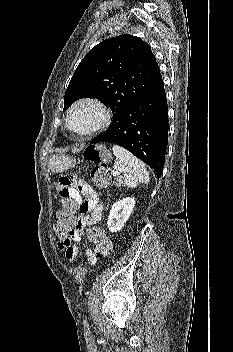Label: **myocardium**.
Here are the masks:
<instances>
[{"mask_svg": "<svg viewBox=\"0 0 233 352\" xmlns=\"http://www.w3.org/2000/svg\"><path fill=\"white\" fill-rule=\"evenodd\" d=\"M85 105L95 107L99 111L100 117L97 120V122L94 123L91 127H89L86 130L79 131L72 126L71 117L76 109ZM111 118H112L111 111L105 103H103L101 100L94 97H85V98L79 99L70 107L66 116V126L68 130L71 131L72 133L78 136L86 137L103 130L110 123Z\"/></svg>", "mask_w": 233, "mask_h": 352, "instance_id": "obj_1", "label": "myocardium"}]
</instances>
